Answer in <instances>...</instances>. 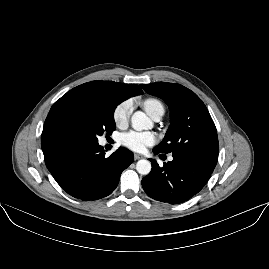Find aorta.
<instances>
[{
	"mask_svg": "<svg viewBox=\"0 0 269 269\" xmlns=\"http://www.w3.org/2000/svg\"><path fill=\"white\" fill-rule=\"evenodd\" d=\"M131 123L136 130L149 129L152 121L142 111H135L131 116ZM136 170L141 175H147L151 171V162L147 159H141L136 163Z\"/></svg>",
	"mask_w": 269,
	"mask_h": 269,
	"instance_id": "762f6f07",
	"label": "aorta"
}]
</instances>
